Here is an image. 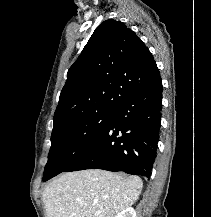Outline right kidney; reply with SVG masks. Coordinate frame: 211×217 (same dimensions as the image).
I'll return each mask as SVG.
<instances>
[{"label": "right kidney", "mask_w": 211, "mask_h": 217, "mask_svg": "<svg viewBox=\"0 0 211 217\" xmlns=\"http://www.w3.org/2000/svg\"><path fill=\"white\" fill-rule=\"evenodd\" d=\"M115 217H137L136 211L132 208H126L125 210L118 213Z\"/></svg>", "instance_id": "right-kidney-1"}]
</instances>
